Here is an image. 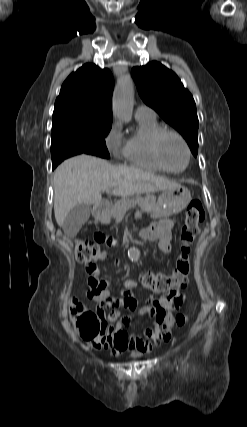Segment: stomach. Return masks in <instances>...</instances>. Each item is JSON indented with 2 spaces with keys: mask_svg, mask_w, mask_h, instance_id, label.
I'll return each instance as SVG.
<instances>
[{
  "mask_svg": "<svg viewBox=\"0 0 247 427\" xmlns=\"http://www.w3.org/2000/svg\"><path fill=\"white\" fill-rule=\"evenodd\" d=\"M190 201V191L184 186L177 185L160 193L153 210L160 217H169L183 211ZM98 219L104 223L109 222V218L104 214H99Z\"/></svg>",
  "mask_w": 247,
  "mask_h": 427,
  "instance_id": "stomach-1",
  "label": "stomach"
}]
</instances>
